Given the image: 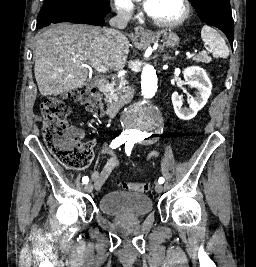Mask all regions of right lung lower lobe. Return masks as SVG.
<instances>
[{"label":"right lung lower lobe","mask_w":256,"mask_h":267,"mask_svg":"<svg viewBox=\"0 0 256 267\" xmlns=\"http://www.w3.org/2000/svg\"><path fill=\"white\" fill-rule=\"evenodd\" d=\"M105 15L101 13H96L93 11H84L78 15H63V14H53L40 22L37 21V26L39 28L48 26L51 23L59 22H74V23H84L91 25H102L104 23Z\"/></svg>","instance_id":"1"}]
</instances>
